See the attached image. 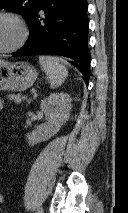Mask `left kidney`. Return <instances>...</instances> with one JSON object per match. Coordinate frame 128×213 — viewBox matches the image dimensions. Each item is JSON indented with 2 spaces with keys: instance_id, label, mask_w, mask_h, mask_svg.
<instances>
[{
  "instance_id": "5707ae66",
  "label": "left kidney",
  "mask_w": 128,
  "mask_h": 213,
  "mask_svg": "<svg viewBox=\"0 0 128 213\" xmlns=\"http://www.w3.org/2000/svg\"><path fill=\"white\" fill-rule=\"evenodd\" d=\"M72 98L67 93H54L46 97L40 105L47 122L28 133L26 138L30 145L46 141L53 137L67 121L72 108Z\"/></svg>"
}]
</instances>
